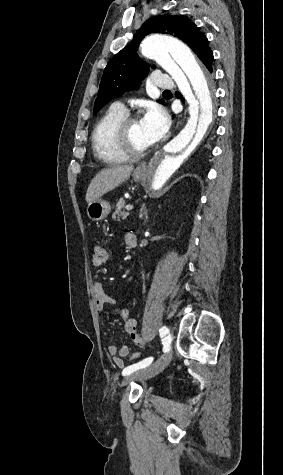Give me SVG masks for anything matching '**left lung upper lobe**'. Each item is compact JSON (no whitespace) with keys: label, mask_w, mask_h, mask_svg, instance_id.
Listing matches in <instances>:
<instances>
[{"label":"left lung upper lobe","mask_w":283,"mask_h":475,"mask_svg":"<svg viewBox=\"0 0 283 475\" xmlns=\"http://www.w3.org/2000/svg\"><path fill=\"white\" fill-rule=\"evenodd\" d=\"M150 33L171 34L185 43L204 62L210 51L207 38L187 17L162 15L148 19L131 44L116 54L104 69L99 92L94 104V114L112 99L126 91L138 88L149 71L136 51L141 40ZM150 66V65H148ZM152 68H155L153 65ZM165 104L164 100H159Z\"/></svg>","instance_id":"1"}]
</instances>
